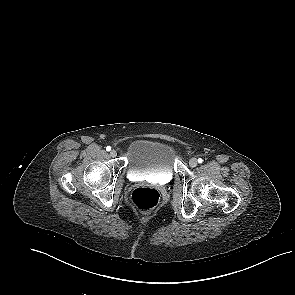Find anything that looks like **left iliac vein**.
I'll return each mask as SVG.
<instances>
[{"label":"left iliac vein","instance_id":"left-iliac-vein-1","mask_svg":"<svg viewBox=\"0 0 295 295\" xmlns=\"http://www.w3.org/2000/svg\"><path fill=\"white\" fill-rule=\"evenodd\" d=\"M197 164H198V161H197L196 158H191V159L189 160V165H190L191 167H196Z\"/></svg>","mask_w":295,"mask_h":295}]
</instances>
